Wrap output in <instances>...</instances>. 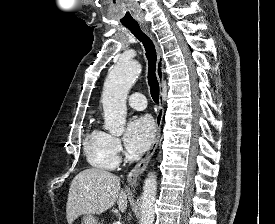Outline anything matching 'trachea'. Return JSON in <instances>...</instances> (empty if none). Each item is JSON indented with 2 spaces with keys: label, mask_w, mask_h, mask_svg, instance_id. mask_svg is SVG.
I'll return each mask as SVG.
<instances>
[{
  "label": "trachea",
  "mask_w": 275,
  "mask_h": 224,
  "mask_svg": "<svg viewBox=\"0 0 275 224\" xmlns=\"http://www.w3.org/2000/svg\"><path fill=\"white\" fill-rule=\"evenodd\" d=\"M134 36L142 42L148 60V84L155 103L159 102V83L156 77L157 54L153 41L141 30L139 25L127 26Z\"/></svg>",
  "instance_id": "1"
}]
</instances>
